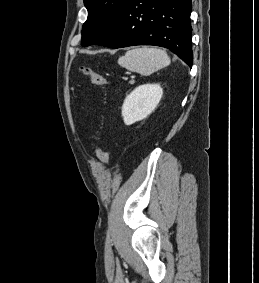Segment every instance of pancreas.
<instances>
[{
	"instance_id": "1",
	"label": "pancreas",
	"mask_w": 259,
	"mask_h": 283,
	"mask_svg": "<svg viewBox=\"0 0 259 283\" xmlns=\"http://www.w3.org/2000/svg\"><path fill=\"white\" fill-rule=\"evenodd\" d=\"M133 83V81H130V84H132Z\"/></svg>"
}]
</instances>
